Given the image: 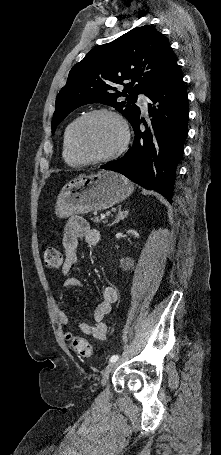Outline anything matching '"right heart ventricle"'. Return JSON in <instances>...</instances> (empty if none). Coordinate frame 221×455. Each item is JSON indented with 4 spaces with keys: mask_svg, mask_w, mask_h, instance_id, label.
Instances as JSON below:
<instances>
[{
    "mask_svg": "<svg viewBox=\"0 0 221 455\" xmlns=\"http://www.w3.org/2000/svg\"><path fill=\"white\" fill-rule=\"evenodd\" d=\"M77 118L71 120L65 127L62 138V155L66 163L72 167H80L85 163L74 153L71 144V132Z\"/></svg>",
    "mask_w": 221,
    "mask_h": 455,
    "instance_id": "obj_1",
    "label": "right heart ventricle"
}]
</instances>
